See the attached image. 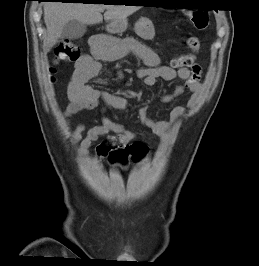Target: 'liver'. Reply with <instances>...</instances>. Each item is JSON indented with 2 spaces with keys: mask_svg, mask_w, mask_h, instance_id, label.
Here are the masks:
<instances>
[{
  "mask_svg": "<svg viewBox=\"0 0 259 266\" xmlns=\"http://www.w3.org/2000/svg\"><path fill=\"white\" fill-rule=\"evenodd\" d=\"M104 10H106L104 13L105 21L113 23L126 20L129 15L139 10V7L61 2L46 3L44 5V22L47 28L44 40L45 52H48L57 43L67 22L77 20L85 25H94L103 21L102 12Z\"/></svg>",
  "mask_w": 259,
  "mask_h": 266,
  "instance_id": "liver-1",
  "label": "liver"
}]
</instances>
